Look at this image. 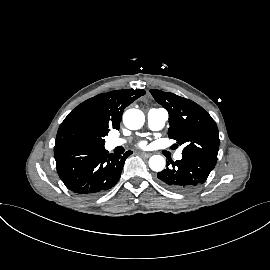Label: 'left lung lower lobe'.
<instances>
[{"instance_id": "0a47b994", "label": "left lung lower lobe", "mask_w": 270, "mask_h": 270, "mask_svg": "<svg viewBox=\"0 0 270 270\" xmlns=\"http://www.w3.org/2000/svg\"><path fill=\"white\" fill-rule=\"evenodd\" d=\"M157 174L160 183L175 192H187L204 183L213 170V164L193 156L183 155L176 162Z\"/></svg>"}]
</instances>
